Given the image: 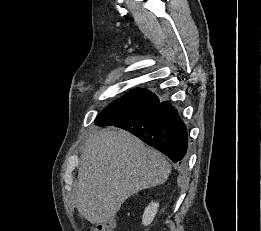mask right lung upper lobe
I'll return each instance as SVG.
<instances>
[{
  "label": "right lung upper lobe",
  "mask_w": 261,
  "mask_h": 231,
  "mask_svg": "<svg viewBox=\"0 0 261 231\" xmlns=\"http://www.w3.org/2000/svg\"><path fill=\"white\" fill-rule=\"evenodd\" d=\"M142 90H145V91H147V92H149V93H151V94H154V93H152L151 91H149V90H147V89H142Z\"/></svg>",
  "instance_id": "cb5924a9"
}]
</instances>
